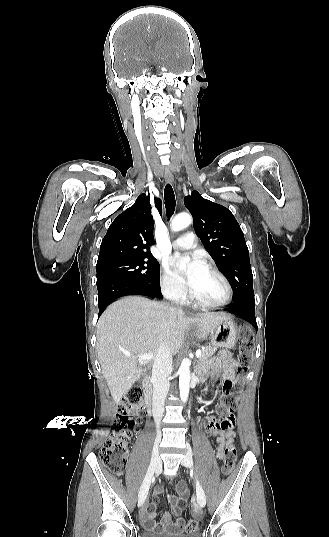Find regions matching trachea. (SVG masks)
Returning <instances> with one entry per match:
<instances>
[{"mask_svg":"<svg viewBox=\"0 0 329 537\" xmlns=\"http://www.w3.org/2000/svg\"><path fill=\"white\" fill-rule=\"evenodd\" d=\"M164 199H165V207H166L167 216L171 217L175 210L176 201H175L173 188L170 184H167L165 186Z\"/></svg>","mask_w":329,"mask_h":537,"instance_id":"1","label":"trachea"}]
</instances>
